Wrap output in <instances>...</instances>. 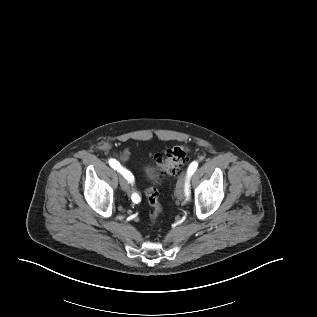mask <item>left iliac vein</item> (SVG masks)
I'll return each instance as SVG.
<instances>
[{
    "label": "left iliac vein",
    "instance_id": "left-iliac-vein-1",
    "mask_svg": "<svg viewBox=\"0 0 317 317\" xmlns=\"http://www.w3.org/2000/svg\"><path fill=\"white\" fill-rule=\"evenodd\" d=\"M187 182H188V174L182 173L176 185V197L180 201L184 199Z\"/></svg>",
    "mask_w": 317,
    "mask_h": 317
}]
</instances>
